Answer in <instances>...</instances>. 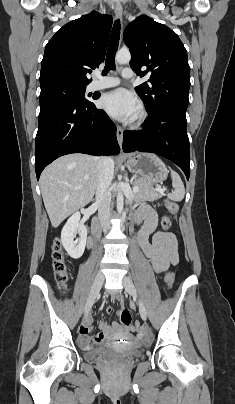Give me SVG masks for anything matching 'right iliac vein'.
I'll return each instance as SVG.
<instances>
[{"instance_id":"right-iliac-vein-1","label":"right iliac vein","mask_w":235,"mask_h":404,"mask_svg":"<svg viewBox=\"0 0 235 404\" xmlns=\"http://www.w3.org/2000/svg\"><path fill=\"white\" fill-rule=\"evenodd\" d=\"M103 282H104V275L101 272H98L95 276V279H94V282H93V285L91 288V292H90L89 298H88L86 306H85L84 319H83L84 321L86 320L87 315H88L89 311L91 310V308L99 294V291L102 287Z\"/></svg>"}]
</instances>
